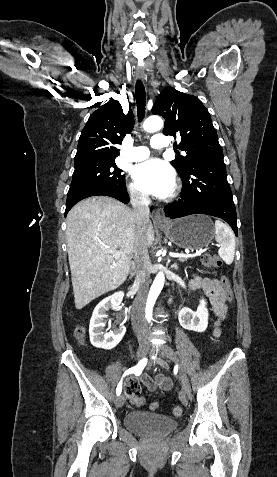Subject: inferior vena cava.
I'll return each mask as SVG.
<instances>
[{
	"label": "inferior vena cava",
	"mask_w": 277,
	"mask_h": 477,
	"mask_svg": "<svg viewBox=\"0 0 277 477\" xmlns=\"http://www.w3.org/2000/svg\"><path fill=\"white\" fill-rule=\"evenodd\" d=\"M130 202L133 207L132 213L138 229V250L135 253L137 264L135 285L137 287V296L133 305L131 322L132 328L139 340L143 339L148 333V326L145 318L146 299L150 285V259L146 246L142 243L146 224L149 221V203L148 195L140 192H132Z\"/></svg>",
	"instance_id": "1"
}]
</instances>
